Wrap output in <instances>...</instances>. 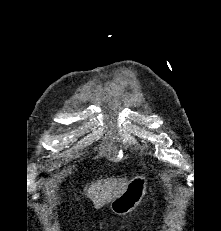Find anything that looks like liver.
I'll list each match as a JSON object with an SVG mask.
<instances>
[{"mask_svg":"<svg viewBox=\"0 0 221 231\" xmlns=\"http://www.w3.org/2000/svg\"><path fill=\"white\" fill-rule=\"evenodd\" d=\"M127 178H108L92 183L86 191L95 209H100L124 193L128 186Z\"/></svg>","mask_w":221,"mask_h":231,"instance_id":"1","label":"liver"}]
</instances>
